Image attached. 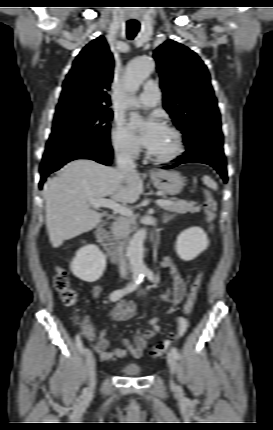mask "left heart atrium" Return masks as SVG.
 <instances>
[{
	"instance_id": "left-heart-atrium-1",
	"label": "left heart atrium",
	"mask_w": 273,
	"mask_h": 430,
	"mask_svg": "<svg viewBox=\"0 0 273 430\" xmlns=\"http://www.w3.org/2000/svg\"><path fill=\"white\" fill-rule=\"evenodd\" d=\"M130 128L137 140L150 151L156 147L165 130L164 125L155 117H150L145 121L133 120Z\"/></svg>"
}]
</instances>
